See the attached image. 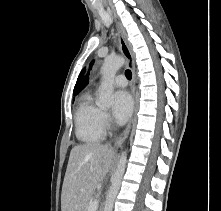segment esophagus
Masks as SVG:
<instances>
[{"label":"esophagus","mask_w":221,"mask_h":211,"mask_svg":"<svg viewBox=\"0 0 221 211\" xmlns=\"http://www.w3.org/2000/svg\"><path fill=\"white\" fill-rule=\"evenodd\" d=\"M116 27H117L121 51H122L124 57L126 58L128 67L131 69V72H132V86H131V88H132L133 103H134L133 114H132L126 128L120 134V136L117 138V140L114 144L115 147H119L126 140V138L128 137V135L130 133L132 123H133V118L135 116L136 109H137V95H136L135 57L132 52L131 45L127 39L125 29L123 28V26L121 25V23L119 21H116Z\"/></svg>","instance_id":"34e87169"}]
</instances>
